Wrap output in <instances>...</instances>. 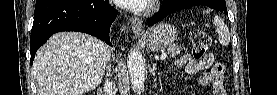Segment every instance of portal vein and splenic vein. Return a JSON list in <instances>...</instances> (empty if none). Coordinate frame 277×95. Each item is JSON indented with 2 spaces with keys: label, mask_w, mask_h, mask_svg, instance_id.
I'll list each match as a JSON object with an SVG mask.
<instances>
[{
  "label": "portal vein and splenic vein",
  "mask_w": 277,
  "mask_h": 95,
  "mask_svg": "<svg viewBox=\"0 0 277 95\" xmlns=\"http://www.w3.org/2000/svg\"><path fill=\"white\" fill-rule=\"evenodd\" d=\"M166 57H167V54L166 53H162L160 58H161V60H164V59H166Z\"/></svg>",
  "instance_id": "18ae733b"
}]
</instances>
